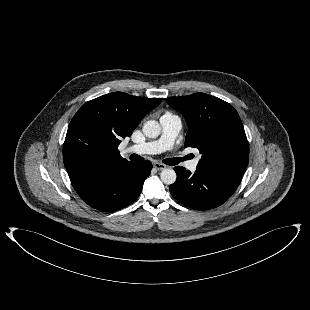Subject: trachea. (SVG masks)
Here are the masks:
<instances>
[{
	"instance_id": "3493384b",
	"label": "trachea",
	"mask_w": 310,
	"mask_h": 310,
	"mask_svg": "<svg viewBox=\"0 0 310 310\" xmlns=\"http://www.w3.org/2000/svg\"><path fill=\"white\" fill-rule=\"evenodd\" d=\"M130 160H132V161H141V160H143V158L141 156L137 155V154H132L130 156ZM182 160H183V158H168V159L163 160V162L165 164H167V165L173 166V165L178 164Z\"/></svg>"
}]
</instances>
